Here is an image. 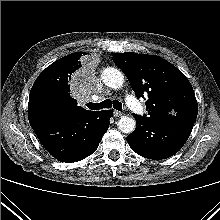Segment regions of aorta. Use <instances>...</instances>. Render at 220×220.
Instances as JSON below:
<instances>
[{
    "mask_svg": "<svg viewBox=\"0 0 220 220\" xmlns=\"http://www.w3.org/2000/svg\"><path fill=\"white\" fill-rule=\"evenodd\" d=\"M101 79L106 86L113 89H120L125 82L122 72L113 67L105 68L102 71ZM117 125L121 132L130 134L136 127V121L132 117L122 116Z\"/></svg>",
    "mask_w": 220,
    "mask_h": 220,
    "instance_id": "1",
    "label": "aorta"
}]
</instances>
